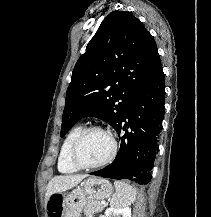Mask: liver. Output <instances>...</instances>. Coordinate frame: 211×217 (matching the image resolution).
I'll list each match as a JSON object with an SVG mask.
<instances>
[{
    "instance_id": "liver-1",
    "label": "liver",
    "mask_w": 211,
    "mask_h": 217,
    "mask_svg": "<svg viewBox=\"0 0 211 217\" xmlns=\"http://www.w3.org/2000/svg\"><path fill=\"white\" fill-rule=\"evenodd\" d=\"M85 177H87V175L76 174V175H59L52 178L47 185V191L45 194L46 205L53 194L62 193L75 187Z\"/></svg>"
}]
</instances>
